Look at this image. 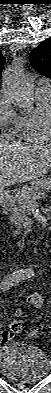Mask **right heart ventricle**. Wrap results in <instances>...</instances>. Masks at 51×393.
<instances>
[{"label":"right heart ventricle","mask_w":51,"mask_h":393,"mask_svg":"<svg viewBox=\"0 0 51 393\" xmlns=\"http://www.w3.org/2000/svg\"><path fill=\"white\" fill-rule=\"evenodd\" d=\"M36 107L20 117L19 129L21 139L30 143H46L51 138L47 113L51 106V88L37 87L35 91Z\"/></svg>","instance_id":"1"}]
</instances>
